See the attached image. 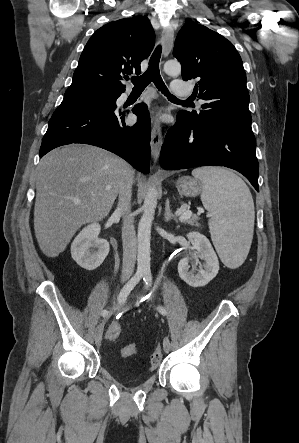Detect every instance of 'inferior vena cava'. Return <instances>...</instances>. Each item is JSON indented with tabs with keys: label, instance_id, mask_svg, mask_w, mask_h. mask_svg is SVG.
Listing matches in <instances>:
<instances>
[{
	"label": "inferior vena cava",
	"instance_id": "obj_1",
	"mask_svg": "<svg viewBox=\"0 0 299 443\" xmlns=\"http://www.w3.org/2000/svg\"><path fill=\"white\" fill-rule=\"evenodd\" d=\"M133 178L125 180L119 190V202L117 212L123 215L122 242H123V265L122 275H131L134 271L137 239L134 229V218L131 212V195H132Z\"/></svg>",
	"mask_w": 299,
	"mask_h": 443
}]
</instances>
